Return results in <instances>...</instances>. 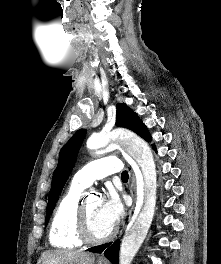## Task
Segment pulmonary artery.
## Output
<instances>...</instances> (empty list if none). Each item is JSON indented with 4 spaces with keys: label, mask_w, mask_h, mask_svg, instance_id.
Here are the masks:
<instances>
[{
    "label": "pulmonary artery",
    "mask_w": 221,
    "mask_h": 264,
    "mask_svg": "<svg viewBox=\"0 0 221 264\" xmlns=\"http://www.w3.org/2000/svg\"><path fill=\"white\" fill-rule=\"evenodd\" d=\"M122 169L121 162L116 157H105L86 164L73 176V182L86 188L94 181L105 178Z\"/></svg>",
    "instance_id": "pulmonary-artery-1"
}]
</instances>
